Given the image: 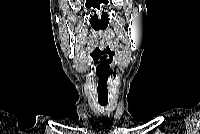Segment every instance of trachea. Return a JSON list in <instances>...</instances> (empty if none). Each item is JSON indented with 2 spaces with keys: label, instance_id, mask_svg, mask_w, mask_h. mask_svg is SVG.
I'll list each match as a JSON object with an SVG mask.
<instances>
[{
  "label": "trachea",
  "instance_id": "1",
  "mask_svg": "<svg viewBox=\"0 0 200 134\" xmlns=\"http://www.w3.org/2000/svg\"><path fill=\"white\" fill-rule=\"evenodd\" d=\"M107 101H99V104L101 105V106H106L107 105Z\"/></svg>",
  "mask_w": 200,
  "mask_h": 134
}]
</instances>
